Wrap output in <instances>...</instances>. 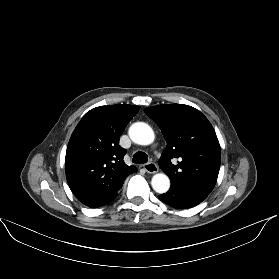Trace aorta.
<instances>
[{"label":"aorta","mask_w":279,"mask_h":279,"mask_svg":"<svg viewBox=\"0 0 279 279\" xmlns=\"http://www.w3.org/2000/svg\"><path fill=\"white\" fill-rule=\"evenodd\" d=\"M131 140L139 145H149L155 139L153 129L146 123L136 122L129 128ZM152 188L159 194L166 193L170 188V180L164 173L155 174L151 180Z\"/></svg>","instance_id":"aorta-1"}]
</instances>
